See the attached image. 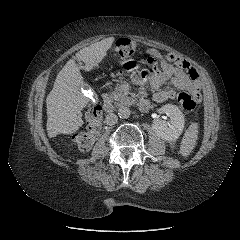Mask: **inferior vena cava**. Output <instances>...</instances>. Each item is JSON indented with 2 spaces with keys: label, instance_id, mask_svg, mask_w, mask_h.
Wrapping results in <instances>:
<instances>
[{
  "label": "inferior vena cava",
  "instance_id": "602c4592",
  "mask_svg": "<svg viewBox=\"0 0 240 240\" xmlns=\"http://www.w3.org/2000/svg\"><path fill=\"white\" fill-rule=\"evenodd\" d=\"M117 121H118V117H117L116 114H114V113H109V114L106 115L105 123H106L107 125H114V124L117 123Z\"/></svg>",
  "mask_w": 240,
  "mask_h": 240
}]
</instances>
